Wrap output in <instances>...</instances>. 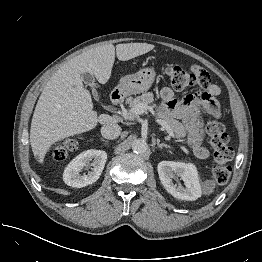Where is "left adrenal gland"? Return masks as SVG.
<instances>
[{
	"label": "left adrenal gland",
	"instance_id": "left-adrenal-gland-1",
	"mask_svg": "<svg viewBox=\"0 0 262 262\" xmlns=\"http://www.w3.org/2000/svg\"><path fill=\"white\" fill-rule=\"evenodd\" d=\"M157 146L159 147V148H163V147H165V148H170V146H168V145H166V144H164V143H160L159 142V140H157Z\"/></svg>",
	"mask_w": 262,
	"mask_h": 262
}]
</instances>
